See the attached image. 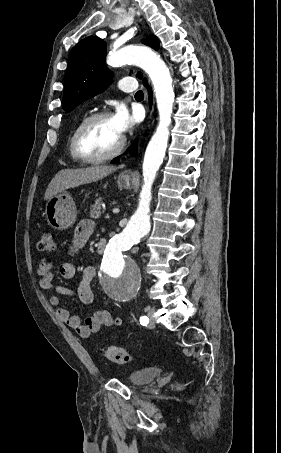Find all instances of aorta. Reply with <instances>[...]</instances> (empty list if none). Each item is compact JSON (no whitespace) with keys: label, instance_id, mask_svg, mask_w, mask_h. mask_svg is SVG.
Listing matches in <instances>:
<instances>
[{"label":"aorta","instance_id":"1","mask_svg":"<svg viewBox=\"0 0 281 453\" xmlns=\"http://www.w3.org/2000/svg\"><path fill=\"white\" fill-rule=\"evenodd\" d=\"M111 66L133 64L142 68L152 81L159 123L151 137L143 161V185L136 212L126 228L114 236L106 246L101 263V286L108 297L116 302L133 298L139 290L141 274L136 263L124 252L150 231V202L152 184L163 162L169 138V126L174 103L172 78L165 62L148 47H126L109 54Z\"/></svg>","mask_w":281,"mask_h":453}]
</instances>
